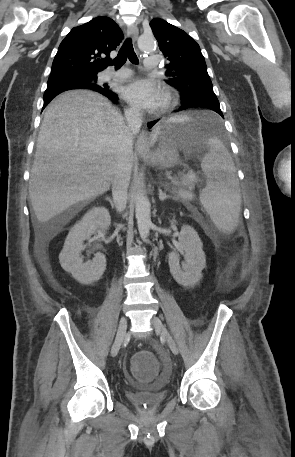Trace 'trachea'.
<instances>
[{
    "instance_id": "1",
    "label": "trachea",
    "mask_w": 295,
    "mask_h": 457,
    "mask_svg": "<svg viewBox=\"0 0 295 457\" xmlns=\"http://www.w3.org/2000/svg\"><path fill=\"white\" fill-rule=\"evenodd\" d=\"M127 59H129L131 63L136 65L139 62L138 57L134 52L131 38H127L124 41L117 57L110 63V65L114 66L115 69H119L124 65Z\"/></svg>"
}]
</instances>
